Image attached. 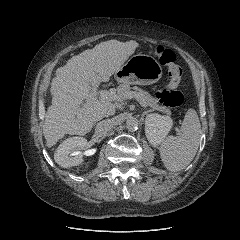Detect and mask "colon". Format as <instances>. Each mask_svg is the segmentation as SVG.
Listing matches in <instances>:
<instances>
[{
  "label": "colon",
  "mask_w": 240,
  "mask_h": 240,
  "mask_svg": "<svg viewBox=\"0 0 240 240\" xmlns=\"http://www.w3.org/2000/svg\"><path fill=\"white\" fill-rule=\"evenodd\" d=\"M154 52L158 56L160 63L167 67L170 78L167 87L157 92L156 97L164 106L178 107L182 105L184 101V95L177 89L181 81L182 70L175 63V53L172 50L165 49L162 46L156 47Z\"/></svg>",
  "instance_id": "colon-1"
}]
</instances>
